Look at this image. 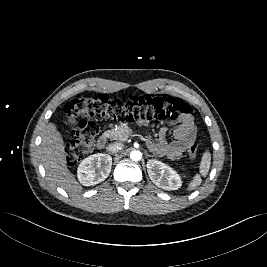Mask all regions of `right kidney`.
<instances>
[{"instance_id": "obj_1", "label": "right kidney", "mask_w": 267, "mask_h": 267, "mask_svg": "<svg viewBox=\"0 0 267 267\" xmlns=\"http://www.w3.org/2000/svg\"><path fill=\"white\" fill-rule=\"evenodd\" d=\"M112 158L108 154H94L85 158L77 170L79 182L84 186H93L104 181L110 174Z\"/></svg>"}]
</instances>
